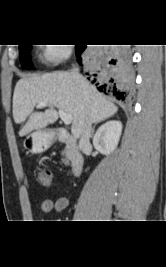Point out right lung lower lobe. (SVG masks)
Instances as JSON below:
<instances>
[{"instance_id": "98d812e1", "label": "right lung lower lobe", "mask_w": 166, "mask_h": 267, "mask_svg": "<svg viewBox=\"0 0 166 267\" xmlns=\"http://www.w3.org/2000/svg\"><path fill=\"white\" fill-rule=\"evenodd\" d=\"M75 46L78 62L81 63V54L87 46ZM104 54L90 59L85 69V75L97 86L99 91L124 101L127 99L132 85L129 69L130 53L125 47H110Z\"/></svg>"}]
</instances>
